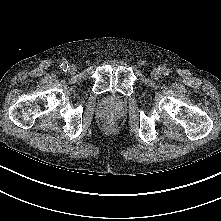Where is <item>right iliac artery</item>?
Segmentation results:
<instances>
[{
  "instance_id": "obj_1",
  "label": "right iliac artery",
  "mask_w": 221,
  "mask_h": 221,
  "mask_svg": "<svg viewBox=\"0 0 221 221\" xmlns=\"http://www.w3.org/2000/svg\"><path fill=\"white\" fill-rule=\"evenodd\" d=\"M60 67H61V69L63 70V71H67V69H68V63L67 62H63L61 65H60Z\"/></svg>"
}]
</instances>
